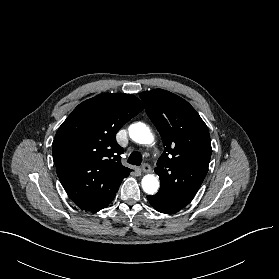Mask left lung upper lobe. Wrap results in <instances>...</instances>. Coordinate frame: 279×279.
<instances>
[{
    "mask_svg": "<svg viewBox=\"0 0 279 279\" xmlns=\"http://www.w3.org/2000/svg\"><path fill=\"white\" fill-rule=\"evenodd\" d=\"M140 98L165 147L155 168L159 191L193 198L207 174L212 153L206 124L187 101L169 91H145Z\"/></svg>",
    "mask_w": 279,
    "mask_h": 279,
    "instance_id": "5c2ea615",
    "label": "left lung upper lobe"
}]
</instances>
